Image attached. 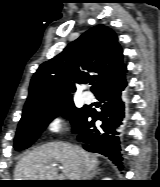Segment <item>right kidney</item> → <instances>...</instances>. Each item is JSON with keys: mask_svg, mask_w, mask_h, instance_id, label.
Returning a JSON list of instances; mask_svg holds the SVG:
<instances>
[{"mask_svg": "<svg viewBox=\"0 0 160 187\" xmlns=\"http://www.w3.org/2000/svg\"><path fill=\"white\" fill-rule=\"evenodd\" d=\"M104 180H110L109 178H105Z\"/></svg>", "mask_w": 160, "mask_h": 187, "instance_id": "1", "label": "right kidney"}]
</instances>
